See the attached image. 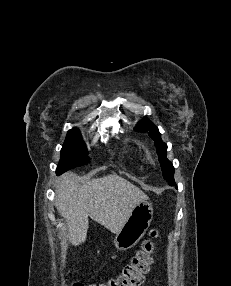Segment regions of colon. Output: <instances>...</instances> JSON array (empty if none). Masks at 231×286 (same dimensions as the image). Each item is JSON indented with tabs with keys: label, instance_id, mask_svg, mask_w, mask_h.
Returning <instances> with one entry per match:
<instances>
[{
	"label": "colon",
	"instance_id": "5ec220e1",
	"mask_svg": "<svg viewBox=\"0 0 231 286\" xmlns=\"http://www.w3.org/2000/svg\"><path fill=\"white\" fill-rule=\"evenodd\" d=\"M158 236L157 230H152L150 238L145 240L130 262L124 266L121 273L105 283L91 284L88 286H140L145 275L149 272L155 253L154 239ZM73 286H84L75 283Z\"/></svg>",
	"mask_w": 231,
	"mask_h": 286
}]
</instances>
